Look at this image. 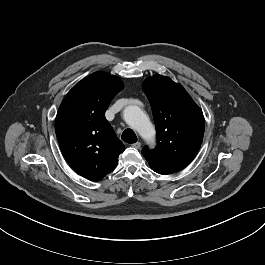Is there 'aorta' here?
Returning a JSON list of instances; mask_svg holds the SVG:
<instances>
[{
    "label": "aorta",
    "instance_id": "762f6f07",
    "mask_svg": "<svg viewBox=\"0 0 265 265\" xmlns=\"http://www.w3.org/2000/svg\"><path fill=\"white\" fill-rule=\"evenodd\" d=\"M123 118L147 142L154 138L155 131L153 125L138 106L130 105L126 107L123 111Z\"/></svg>",
    "mask_w": 265,
    "mask_h": 265
}]
</instances>
